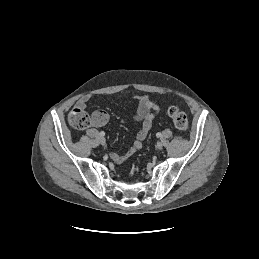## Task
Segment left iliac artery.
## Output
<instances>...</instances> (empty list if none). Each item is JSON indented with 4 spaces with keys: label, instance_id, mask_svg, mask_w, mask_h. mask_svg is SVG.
Segmentation results:
<instances>
[{
    "label": "left iliac artery",
    "instance_id": "left-iliac-artery-1",
    "mask_svg": "<svg viewBox=\"0 0 259 259\" xmlns=\"http://www.w3.org/2000/svg\"><path fill=\"white\" fill-rule=\"evenodd\" d=\"M156 136H157L158 138L161 137V133L158 132V133L156 134Z\"/></svg>",
    "mask_w": 259,
    "mask_h": 259
}]
</instances>
